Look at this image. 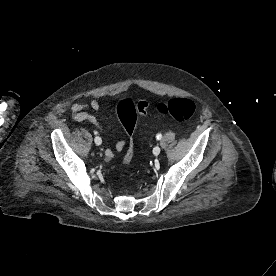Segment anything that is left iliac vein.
I'll list each match as a JSON object with an SVG mask.
<instances>
[{"mask_svg": "<svg viewBox=\"0 0 276 276\" xmlns=\"http://www.w3.org/2000/svg\"><path fill=\"white\" fill-rule=\"evenodd\" d=\"M160 151H161V149H160L159 146H155L153 148V154L156 155V156L160 154Z\"/></svg>", "mask_w": 276, "mask_h": 276, "instance_id": "1", "label": "left iliac vein"}]
</instances>
